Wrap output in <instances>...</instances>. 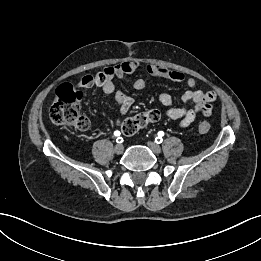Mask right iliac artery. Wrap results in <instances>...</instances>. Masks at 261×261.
Wrapping results in <instances>:
<instances>
[{
  "label": "right iliac artery",
  "instance_id": "obj_1",
  "mask_svg": "<svg viewBox=\"0 0 261 261\" xmlns=\"http://www.w3.org/2000/svg\"><path fill=\"white\" fill-rule=\"evenodd\" d=\"M114 135H115V136H120V132H119V131H115V132H114ZM116 142H117V143H122V142H123V138H122V137H118V138L116 139Z\"/></svg>",
  "mask_w": 261,
  "mask_h": 261
}]
</instances>
